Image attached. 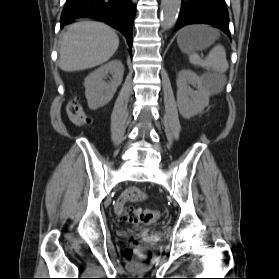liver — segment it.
<instances>
[{
    "label": "liver",
    "mask_w": 279,
    "mask_h": 279,
    "mask_svg": "<svg viewBox=\"0 0 279 279\" xmlns=\"http://www.w3.org/2000/svg\"><path fill=\"white\" fill-rule=\"evenodd\" d=\"M119 46V38L108 25L79 21L67 27L60 41L59 67L66 72L93 68L108 61Z\"/></svg>",
    "instance_id": "6515ba94"
}]
</instances>
